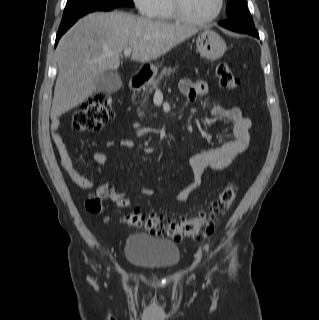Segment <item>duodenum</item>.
Segmentation results:
<instances>
[{"label": "duodenum", "mask_w": 319, "mask_h": 320, "mask_svg": "<svg viewBox=\"0 0 319 320\" xmlns=\"http://www.w3.org/2000/svg\"><path fill=\"white\" fill-rule=\"evenodd\" d=\"M147 79V76L143 73H138L133 76L129 81V87L131 90H137Z\"/></svg>", "instance_id": "duodenum-1"}]
</instances>
